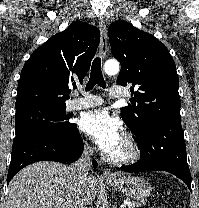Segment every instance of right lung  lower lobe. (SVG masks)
<instances>
[{"instance_id": "1", "label": "right lung lower lobe", "mask_w": 199, "mask_h": 208, "mask_svg": "<svg viewBox=\"0 0 199 208\" xmlns=\"http://www.w3.org/2000/svg\"><path fill=\"white\" fill-rule=\"evenodd\" d=\"M84 145L77 126L62 134H53L43 129L24 130L16 134L7 184L23 167L38 161L72 163L78 160ZM93 167L97 162L92 161Z\"/></svg>"}]
</instances>
